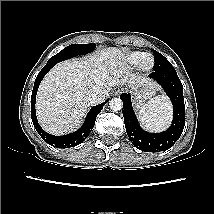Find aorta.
Wrapping results in <instances>:
<instances>
[{
  "instance_id": "762f6f07",
  "label": "aorta",
  "mask_w": 214,
  "mask_h": 214,
  "mask_svg": "<svg viewBox=\"0 0 214 214\" xmlns=\"http://www.w3.org/2000/svg\"><path fill=\"white\" fill-rule=\"evenodd\" d=\"M109 106L113 111H119L123 107V102L120 98H113L110 100Z\"/></svg>"
}]
</instances>
